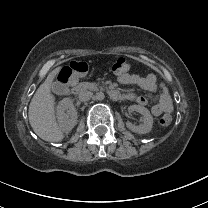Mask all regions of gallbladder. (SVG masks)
I'll use <instances>...</instances> for the list:
<instances>
[{
    "label": "gallbladder",
    "mask_w": 208,
    "mask_h": 208,
    "mask_svg": "<svg viewBox=\"0 0 208 208\" xmlns=\"http://www.w3.org/2000/svg\"><path fill=\"white\" fill-rule=\"evenodd\" d=\"M51 90L58 96H63L67 92V87L63 83H53Z\"/></svg>",
    "instance_id": "gallbladder-1"
}]
</instances>
